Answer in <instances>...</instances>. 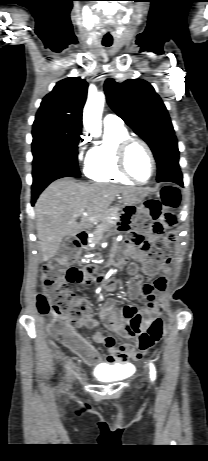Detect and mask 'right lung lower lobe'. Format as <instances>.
<instances>
[{"label": "right lung lower lobe", "instance_id": "obj_1", "mask_svg": "<svg viewBox=\"0 0 208 461\" xmlns=\"http://www.w3.org/2000/svg\"><path fill=\"white\" fill-rule=\"evenodd\" d=\"M63 177H73L65 171H53L49 172L37 180H33L32 184V205H34L39 194L49 185L52 181L63 178Z\"/></svg>", "mask_w": 208, "mask_h": 461}]
</instances>
